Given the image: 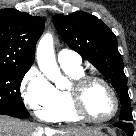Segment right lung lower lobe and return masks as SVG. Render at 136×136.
<instances>
[{"mask_svg": "<svg viewBox=\"0 0 136 136\" xmlns=\"http://www.w3.org/2000/svg\"><path fill=\"white\" fill-rule=\"evenodd\" d=\"M12 117H16V118H24V117H20V116H17V115H12Z\"/></svg>", "mask_w": 136, "mask_h": 136, "instance_id": "obj_1", "label": "right lung lower lobe"}]
</instances>
